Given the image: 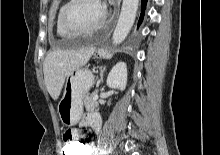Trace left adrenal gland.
<instances>
[{
    "label": "left adrenal gland",
    "mask_w": 220,
    "mask_h": 155,
    "mask_svg": "<svg viewBox=\"0 0 220 155\" xmlns=\"http://www.w3.org/2000/svg\"><path fill=\"white\" fill-rule=\"evenodd\" d=\"M99 69H100V79L98 81V85H100L103 82V73H104L106 67H100Z\"/></svg>",
    "instance_id": "left-adrenal-gland-1"
}]
</instances>
